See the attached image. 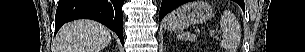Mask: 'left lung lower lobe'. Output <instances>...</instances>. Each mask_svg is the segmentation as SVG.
<instances>
[{"label": "left lung lower lobe", "instance_id": "1", "mask_svg": "<svg viewBox=\"0 0 305 52\" xmlns=\"http://www.w3.org/2000/svg\"><path fill=\"white\" fill-rule=\"evenodd\" d=\"M189 1L190 0H163L160 8L159 20H162L167 13L171 12L176 7Z\"/></svg>", "mask_w": 305, "mask_h": 52}]
</instances>
